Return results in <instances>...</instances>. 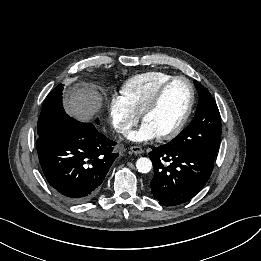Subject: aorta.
Returning <instances> with one entry per match:
<instances>
[{"instance_id":"1","label":"aorta","mask_w":261,"mask_h":261,"mask_svg":"<svg viewBox=\"0 0 261 261\" xmlns=\"http://www.w3.org/2000/svg\"><path fill=\"white\" fill-rule=\"evenodd\" d=\"M136 168L138 172L148 173L152 169V162L149 158L141 157L136 162Z\"/></svg>"}]
</instances>
